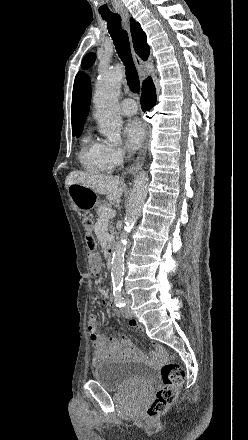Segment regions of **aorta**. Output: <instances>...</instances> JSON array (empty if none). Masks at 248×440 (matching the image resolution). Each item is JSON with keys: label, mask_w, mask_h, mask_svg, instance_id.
<instances>
[{"label": "aorta", "mask_w": 248, "mask_h": 440, "mask_svg": "<svg viewBox=\"0 0 248 440\" xmlns=\"http://www.w3.org/2000/svg\"><path fill=\"white\" fill-rule=\"evenodd\" d=\"M123 74L124 71L120 65L113 66L101 73L94 95L95 119L99 124L100 132L109 142L114 144L121 142L122 120L118 113V97ZM147 189L148 174L141 171L134 181L124 218V228L113 252L111 277L114 288H118L122 284L128 235L140 216L146 200Z\"/></svg>", "instance_id": "1"}]
</instances>
